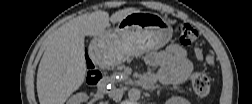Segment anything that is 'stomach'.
Listing matches in <instances>:
<instances>
[{
    "mask_svg": "<svg viewBox=\"0 0 252 104\" xmlns=\"http://www.w3.org/2000/svg\"><path fill=\"white\" fill-rule=\"evenodd\" d=\"M171 24L157 13L137 11L122 19L115 29L94 38L95 55L108 64L141 56L166 45L172 37Z\"/></svg>",
    "mask_w": 252,
    "mask_h": 104,
    "instance_id": "stomach-1",
    "label": "stomach"
}]
</instances>
